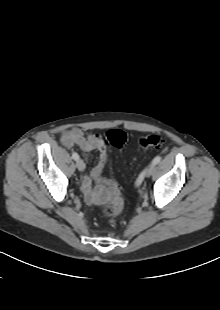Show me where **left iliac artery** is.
Instances as JSON below:
<instances>
[{
	"label": "left iliac artery",
	"mask_w": 220,
	"mask_h": 310,
	"mask_svg": "<svg viewBox=\"0 0 220 310\" xmlns=\"http://www.w3.org/2000/svg\"><path fill=\"white\" fill-rule=\"evenodd\" d=\"M161 161V157L160 156H156L153 161L152 164L156 165ZM146 171H144L143 173L140 174V176L138 177V179L135 182V185L138 187L141 185L142 181H143V177Z\"/></svg>",
	"instance_id": "left-iliac-artery-1"
}]
</instances>
